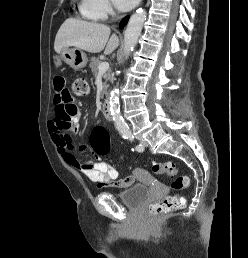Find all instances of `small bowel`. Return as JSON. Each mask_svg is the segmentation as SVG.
I'll return each instance as SVG.
<instances>
[{
    "instance_id": "obj_1",
    "label": "small bowel",
    "mask_w": 248,
    "mask_h": 258,
    "mask_svg": "<svg viewBox=\"0 0 248 258\" xmlns=\"http://www.w3.org/2000/svg\"><path fill=\"white\" fill-rule=\"evenodd\" d=\"M52 86L54 91L53 106L55 116L49 124V130L52 139L55 142L64 161L69 165L80 169L90 181L98 184L99 186L114 187L117 189H126L130 187L135 181L134 175L127 176L121 180H116L118 177V172L107 162L90 161L85 163L77 159L74 152V145L70 136V131L76 132L78 130L80 116L77 113L71 116L70 129H62L56 124L55 117L67 109V107L72 105V98L64 85V78H54L52 81Z\"/></svg>"
}]
</instances>
